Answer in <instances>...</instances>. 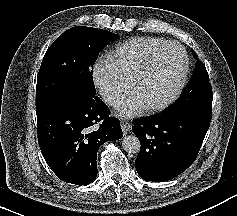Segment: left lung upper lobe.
<instances>
[{"mask_svg":"<svg viewBox=\"0 0 237 216\" xmlns=\"http://www.w3.org/2000/svg\"><path fill=\"white\" fill-rule=\"evenodd\" d=\"M198 60L195 51H192ZM213 93L209 83L207 70L199 60L194 73L184 88L179 100L165 113H183L200 120H211Z\"/></svg>","mask_w":237,"mask_h":216,"instance_id":"left-lung-upper-lobe-1","label":"left lung upper lobe"}]
</instances>
